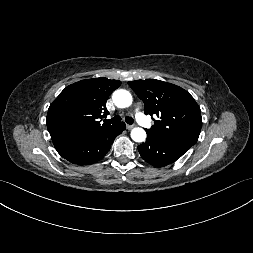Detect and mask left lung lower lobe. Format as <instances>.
Segmentation results:
<instances>
[{
  "label": "left lung lower lobe",
  "instance_id": "1",
  "mask_svg": "<svg viewBox=\"0 0 253 253\" xmlns=\"http://www.w3.org/2000/svg\"><path fill=\"white\" fill-rule=\"evenodd\" d=\"M190 147L156 138L147 133V139L138 146L141 157L155 167H164L179 159Z\"/></svg>",
  "mask_w": 253,
  "mask_h": 253
}]
</instances>
